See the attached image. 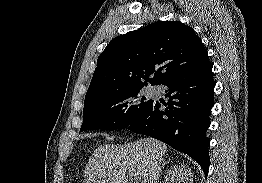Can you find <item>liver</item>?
<instances>
[{
    "label": "liver",
    "mask_w": 262,
    "mask_h": 183,
    "mask_svg": "<svg viewBox=\"0 0 262 183\" xmlns=\"http://www.w3.org/2000/svg\"><path fill=\"white\" fill-rule=\"evenodd\" d=\"M167 145L144 138L125 145L98 146L84 170V183H129L126 174H137L141 183H158Z\"/></svg>",
    "instance_id": "1"
}]
</instances>
